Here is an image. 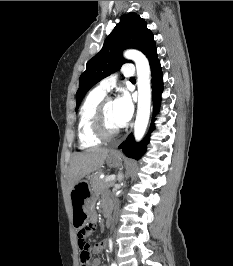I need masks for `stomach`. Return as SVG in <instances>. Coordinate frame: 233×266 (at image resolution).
Segmentation results:
<instances>
[{"instance_id":"0dacf381","label":"stomach","mask_w":233,"mask_h":266,"mask_svg":"<svg viewBox=\"0 0 233 266\" xmlns=\"http://www.w3.org/2000/svg\"><path fill=\"white\" fill-rule=\"evenodd\" d=\"M123 161V156L120 152L111 151L106 157V163L109 166H119ZM91 179L79 181L71 191V199L74 204V209H71L72 221L74 228H87L89 225V216L86 209H89V199H93ZM83 187V188H82Z\"/></svg>"}]
</instances>
